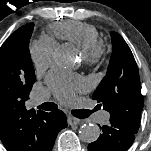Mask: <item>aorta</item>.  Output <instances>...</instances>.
I'll return each instance as SVG.
<instances>
[{"mask_svg": "<svg viewBox=\"0 0 151 151\" xmlns=\"http://www.w3.org/2000/svg\"><path fill=\"white\" fill-rule=\"evenodd\" d=\"M55 59L59 64L69 66L73 63L74 55L70 48L63 46L56 50ZM80 139L86 143L95 142L100 136V129L96 124L85 123L79 130Z\"/></svg>", "mask_w": 151, "mask_h": 151, "instance_id": "aorta-1", "label": "aorta"}]
</instances>
